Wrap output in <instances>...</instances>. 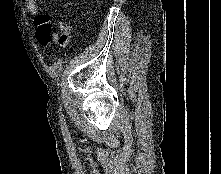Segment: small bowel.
<instances>
[{"label": "small bowel", "mask_w": 221, "mask_h": 174, "mask_svg": "<svg viewBox=\"0 0 221 174\" xmlns=\"http://www.w3.org/2000/svg\"><path fill=\"white\" fill-rule=\"evenodd\" d=\"M27 11L35 17L36 37L39 43L46 46L51 40L60 45H67L70 41V26L66 22H58L59 32L53 31L49 19L38 15V0H25Z\"/></svg>", "instance_id": "1"}]
</instances>
